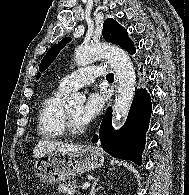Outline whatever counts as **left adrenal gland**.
<instances>
[{"label":"left adrenal gland","mask_w":189,"mask_h":195,"mask_svg":"<svg viewBox=\"0 0 189 195\" xmlns=\"http://www.w3.org/2000/svg\"><path fill=\"white\" fill-rule=\"evenodd\" d=\"M98 181H99V178L96 179V180L94 181V183L92 184V188H91V191H90V195H95L96 192L101 188V186L98 187V188H96V185H97V182H98Z\"/></svg>","instance_id":"left-adrenal-gland-1"}]
</instances>
